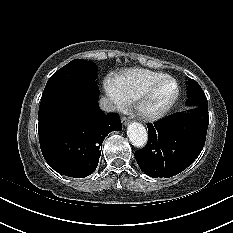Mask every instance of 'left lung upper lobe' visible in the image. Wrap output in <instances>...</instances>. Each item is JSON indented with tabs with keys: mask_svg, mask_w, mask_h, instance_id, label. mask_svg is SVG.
<instances>
[{
	"mask_svg": "<svg viewBox=\"0 0 233 233\" xmlns=\"http://www.w3.org/2000/svg\"><path fill=\"white\" fill-rule=\"evenodd\" d=\"M188 105L202 106L207 104V98L195 80L188 81Z\"/></svg>",
	"mask_w": 233,
	"mask_h": 233,
	"instance_id": "5c2ea615",
	"label": "left lung upper lobe"
}]
</instances>
